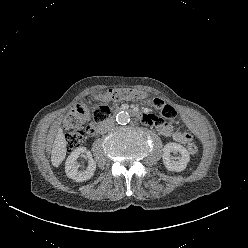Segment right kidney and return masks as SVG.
I'll return each mask as SVG.
<instances>
[{
  "instance_id": "1",
  "label": "right kidney",
  "mask_w": 248,
  "mask_h": 248,
  "mask_svg": "<svg viewBox=\"0 0 248 248\" xmlns=\"http://www.w3.org/2000/svg\"><path fill=\"white\" fill-rule=\"evenodd\" d=\"M82 155L88 157V167L85 171H79L76 165V160ZM96 170V162L92 158L90 151L86 147H78L71 152L65 162V172L68 178L75 180L76 182H83L90 179Z\"/></svg>"
}]
</instances>
